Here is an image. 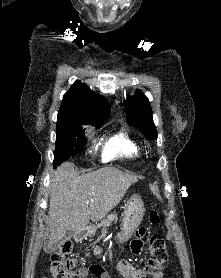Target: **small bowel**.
<instances>
[{"label":"small bowel","instance_id":"1","mask_svg":"<svg viewBox=\"0 0 221 278\" xmlns=\"http://www.w3.org/2000/svg\"><path fill=\"white\" fill-rule=\"evenodd\" d=\"M143 248V241L141 239V233L137 232L135 238L131 242V249L134 254L141 253ZM96 266L97 270L92 272L89 268H79L74 273H72L69 278H85L89 273L93 274L96 278H110L108 272H106L102 267ZM115 272L120 275L122 278H146L142 269L136 268L130 261L121 260L117 263L115 267ZM163 272H158L155 275L150 276L149 278H161Z\"/></svg>","mask_w":221,"mask_h":278}]
</instances>
